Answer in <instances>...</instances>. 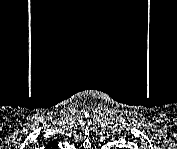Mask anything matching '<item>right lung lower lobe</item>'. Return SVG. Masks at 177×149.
<instances>
[{
	"label": "right lung lower lobe",
	"instance_id": "1",
	"mask_svg": "<svg viewBox=\"0 0 177 149\" xmlns=\"http://www.w3.org/2000/svg\"><path fill=\"white\" fill-rule=\"evenodd\" d=\"M57 144V142H51L49 143L50 146H55Z\"/></svg>",
	"mask_w": 177,
	"mask_h": 149
}]
</instances>
